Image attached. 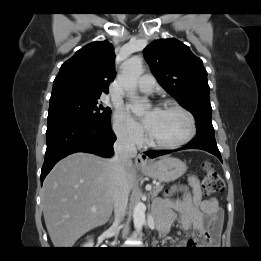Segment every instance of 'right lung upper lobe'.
I'll return each mask as SVG.
<instances>
[{"instance_id": "obj_1", "label": "right lung upper lobe", "mask_w": 261, "mask_h": 261, "mask_svg": "<svg viewBox=\"0 0 261 261\" xmlns=\"http://www.w3.org/2000/svg\"><path fill=\"white\" fill-rule=\"evenodd\" d=\"M114 48L108 41H95L78 50L62 64L52 94L77 92L100 96L108 93L115 78Z\"/></svg>"}]
</instances>
